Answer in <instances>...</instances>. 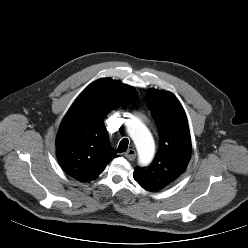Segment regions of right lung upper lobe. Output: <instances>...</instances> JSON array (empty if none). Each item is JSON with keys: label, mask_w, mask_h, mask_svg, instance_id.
<instances>
[{"label": "right lung upper lobe", "mask_w": 248, "mask_h": 248, "mask_svg": "<svg viewBox=\"0 0 248 248\" xmlns=\"http://www.w3.org/2000/svg\"><path fill=\"white\" fill-rule=\"evenodd\" d=\"M135 99L131 86L109 78L96 80L81 92L56 138L60 166L69 176L81 182L94 180L117 157L103 121L111 110Z\"/></svg>", "instance_id": "obj_1"}]
</instances>
